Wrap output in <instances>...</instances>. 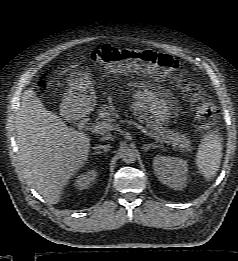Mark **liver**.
<instances>
[{"label":"liver","instance_id":"liver-1","mask_svg":"<svg viewBox=\"0 0 238 261\" xmlns=\"http://www.w3.org/2000/svg\"><path fill=\"white\" fill-rule=\"evenodd\" d=\"M17 145L29 185L51 204L86 163L91 139L47 111L34 90L24 91L16 118Z\"/></svg>","mask_w":238,"mask_h":261}]
</instances>
